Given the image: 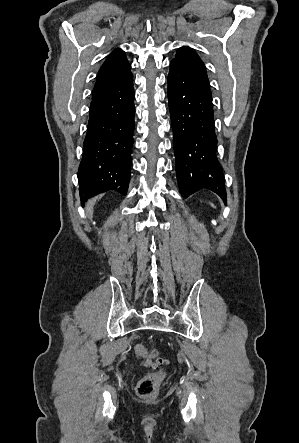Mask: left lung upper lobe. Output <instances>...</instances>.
I'll return each instance as SVG.
<instances>
[{
  "label": "left lung upper lobe",
  "instance_id": "5c2ea615",
  "mask_svg": "<svg viewBox=\"0 0 299 443\" xmlns=\"http://www.w3.org/2000/svg\"><path fill=\"white\" fill-rule=\"evenodd\" d=\"M172 61L180 63L196 76L209 82L205 65L192 48L186 46L180 48L176 54V58Z\"/></svg>",
  "mask_w": 299,
  "mask_h": 443
}]
</instances>
